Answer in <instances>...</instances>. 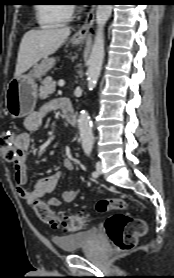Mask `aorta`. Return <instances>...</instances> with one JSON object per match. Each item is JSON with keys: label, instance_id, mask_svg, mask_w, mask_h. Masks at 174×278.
Masks as SVG:
<instances>
[{"label": "aorta", "instance_id": "obj_1", "mask_svg": "<svg viewBox=\"0 0 174 278\" xmlns=\"http://www.w3.org/2000/svg\"><path fill=\"white\" fill-rule=\"evenodd\" d=\"M113 5H98L96 11L97 30L91 49L87 81L89 86H95L100 76L104 59V26L111 16ZM80 139L84 151H91L94 144L92 124L87 111L82 110L78 119Z\"/></svg>", "mask_w": 174, "mask_h": 278}]
</instances>
